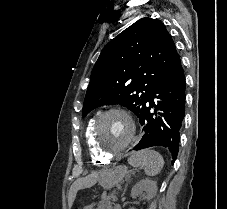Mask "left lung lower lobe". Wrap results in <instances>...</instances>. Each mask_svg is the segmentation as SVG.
I'll list each match as a JSON object with an SVG mask.
<instances>
[{"label":"left lung lower lobe","mask_w":227,"mask_h":209,"mask_svg":"<svg viewBox=\"0 0 227 209\" xmlns=\"http://www.w3.org/2000/svg\"><path fill=\"white\" fill-rule=\"evenodd\" d=\"M155 108L154 112L150 109ZM185 76L179 59L165 74L157 90L139 116L145 134L132 149L164 146L176 159L179 148V130L185 116Z\"/></svg>","instance_id":"obj_1"}]
</instances>
